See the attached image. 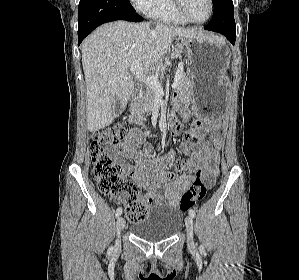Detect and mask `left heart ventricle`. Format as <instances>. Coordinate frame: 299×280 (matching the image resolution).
<instances>
[{"instance_id": "left-heart-ventricle-1", "label": "left heart ventricle", "mask_w": 299, "mask_h": 280, "mask_svg": "<svg viewBox=\"0 0 299 280\" xmlns=\"http://www.w3.org/2000/svg\"><path fill=\"white\" fill-rule=\"evenodd\" d=\"M185 9L192 19L203 20L209 12L208 0H185Z\"/></svg>"}]
</instances>
